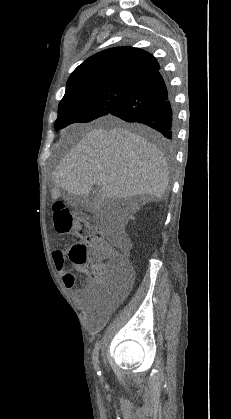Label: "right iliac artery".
<instances>
[{
	"label": "right iliac artery",
	"instance_id": "obj_1",
	"mask_svg": "<svg viewBox=\"0 0 231 419\" xmlns=\"http://www.w3.org/2000/svg\"><path fill=\"white\" fill-rule=\"evenodd\" d=\"M100 341H98L95 345V349L93 352V364L95 367V370L97 371V374L100 376L101 375V371L99 370V366H98V355H99V348H100Z\"/></svg>",
	"mask_w": 231,
	"mask_h": 419
}]
</instances>
